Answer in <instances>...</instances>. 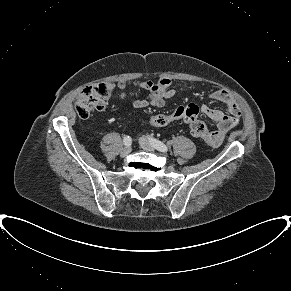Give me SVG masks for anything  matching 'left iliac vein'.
<instances>
[{"instance_id": "left-iliac-vein-1", "label": "left iliac vein", "mask_w": 291, "mask_h": 291, "mask_svg": "<svg viewBox=\"0 0 291 291\" xmlns=\"http://www.w3.org/2000/svg\"><path fill=\"white\" fill-rule=\"evenodd\" d=\"M139 144L140 146L148 152H154L155 151V147L152 145L151 142H149L145 137H141L139 139Z\"/></svg>"}]
</instances>
